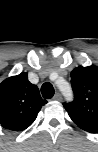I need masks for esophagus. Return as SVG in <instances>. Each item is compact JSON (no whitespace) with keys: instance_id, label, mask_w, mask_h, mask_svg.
<instances>
[{"instance_id":"34e87169","label":"esophagus","mask_w":98,"mask_h":152,"mask_svg":"<svg viewBox=\"0 0 98 152\" xmlns=\"http://www.w3.org/2000/svg\"><path fill=\"white\" fill-rule=\"evenodd\" d=\"M55 101H61L62 100V96L59 92H57L55 95H54V98H53Z\"/></svg>"}]
</instances>
